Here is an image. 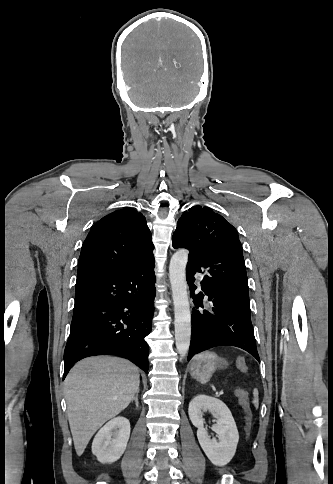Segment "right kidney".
Listing matches in <instances>:
<instances>
[{"instance_id":"1","label":"right kidney","mask_w":333,"mask_h":484,"mask_svg":"<svg viewBox=\"0 0 333 484\" xmlns=\"http://www.w3.org/2000/svg\"><path fill=\"white\" fill-rule=\"evenodd\" d=\"M130 437V423L124 417H117L104 425L92 443V453L102 464L117 461L124 453Z\"/></svg>"}]
</instances>
